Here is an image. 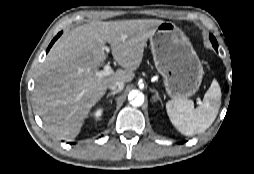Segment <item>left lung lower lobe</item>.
Returning <instances> with one entry per match:
<instances>
[{
  "mask_svg": "<svg viewBox=\"0 0 254 174\" xmlns=\"http://www.w3.org/2000/svg\"><path fill=\"white\" fill-rule=\"evenodd\" d=\"M214 48H215L216 50L218 49V47H217V46H215Z\"/></svg>",
  "mask_w": 254,
  "mask_h": 174,
  "instance_id": "0a47b994",
  "label": "left lung lower lobe"
}]
</instances>
